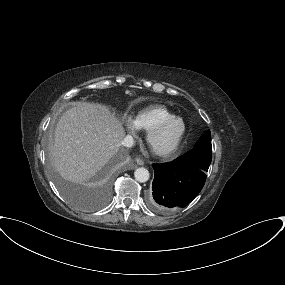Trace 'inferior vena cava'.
I'll list each match as a JSON object with an SVG mask.
<instances>
[{
	"label": "inferior vena cava",
	"instance_id": "obj_1",
	"mask_svg": "<svg viewBox=\"0 0 285 285\" xmlns=\"http://www.w3.org/2000/svg\"><path fill=\"white\" fill-rule=\"evenodd\" d=\"M134 144V139L132 136L127 135L126 137H124L121 141V145L125 146V147H132Z\"/></svg>",
	"mask_w": 285,
	"mask_h": 285
}]
</instances>
